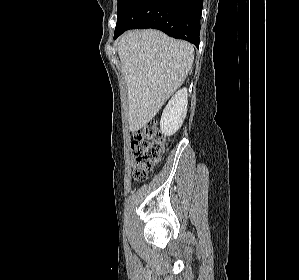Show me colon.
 Listing matches in <instances>:
<instances>
[{
  "mask_svg": "<svg viewBox=\"0 0 299 280\" xmlns=\"http://www.w3.org/2000/svg\"><path fill=\"white\" fill-rule=\"evenodd\" d=\"M167 147V139L156 121L149 122L138 130L131 141L134 179H147L161 161Z\"/></svg>",
  "mask_w": 299,
  "mask_h": 280,
  "instance_id": "colon-1",
  "label": "colon"
}]
</instances>
